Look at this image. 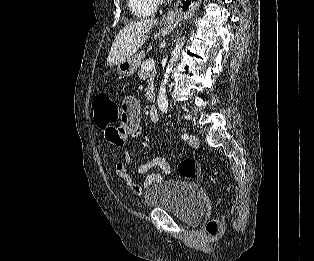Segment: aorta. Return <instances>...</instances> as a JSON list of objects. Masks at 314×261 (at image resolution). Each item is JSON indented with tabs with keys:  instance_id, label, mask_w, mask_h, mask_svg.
Returning a JSON list of instances; mask_svg holds the SVG:
<instances>
[{
	"instance_id": "aorta-1",
	"label": "aorta",
	"mask_w": 314,
	"mask_h": 261,
	"mask_svg": "<svg viewBox=\"0 0 314 261\" xmlns=\"http://www.w3.org/2000/svg\"><path fill=\"white\" fill-rule=\"evenodd\" d=\"M185 37H183L178 44H176L174 50L172 51L171 54V59L169 61V64L167 65L166 71L164 73L163 80L161 81L159 93L157 96V103L159 110L162 113H166L168 110V100H167V95H166V84L169 79V75L173 69L174 64L177 62L179 59L181 49L184 45Z\"/></svg>"
}]
</instances>
